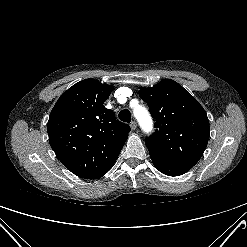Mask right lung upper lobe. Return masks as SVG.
<instances>
[{
  "label": "right lung upper lobe",
  "mask_w": 247,
  "mask_h": 247,
  "mask_svg": "<svg viewBox=\"0 0 247 247\" xmlns=\"http://www.w3.org/2000/svg\"><path fill=\"white\" fill-rule=\"evenodd\" d=\"M112 90L85 79L66 90L50 113L49 143L63 165L80 178L92 179L114 164L128 137L130 127L103 105Z\"/></svg>",
  "instance_id": "1"
}]
</instances>
